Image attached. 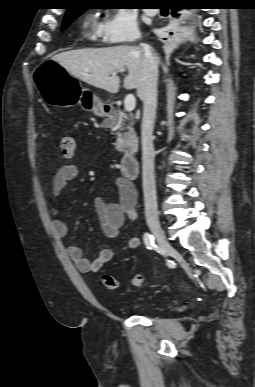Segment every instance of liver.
<instances>
[{
    "label": "liver",
    "instance_id": "obj_1",
    "mask_svg": "<svg viewBox=\"0 0 255 387\" xmlns=\"http://www.w3.org/2000/svg\"><path fill=\"white\" fill-rule=\"evenodd\" d=\"M156 59L158 65L157 56ZM52 60L81 81L112 94L119 91L117 73L124 69L128 70L125 89H137L138 92L144 83V51L141 47L121 45L77 49L58 53Z\"/></svg>",
    "mask_w": 255,
    "mask_h": 387
}]
</instances>
